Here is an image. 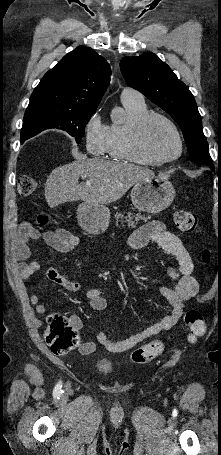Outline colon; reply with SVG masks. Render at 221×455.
<instances>
[{"label": "colon", "instance_id": "obj_1", "mask_svg": "<svg viewBox=\"0 0 221 455\" xmlns=\"http://www.w3.org/2000/svg\"><path fill=\"white\" fill-rule=\"evenodd\" d=\"M39 181L30 176H22L18 181V193L21 196H28L37 191ZM179 230L186 233H197L200 231L197 216L190 211H178L174 217ZM40 225L47 223V217L40 215L37 219ZM210 253L205 252L203 259L208 261ZM184 322L190 330L191 340L201 337L206 331V322L201 312L188 310L184 315ZM48 329L45 333V340L54 353H65L74 349L79 343L77 329L73 326L71 319L64 315H52L48 319ZM164 350V344L160 340H155L137 348L132 353V360L135 363H147Z\"/></svg>", "mask_w": 221, "mask_h": 455}]
</instances>
